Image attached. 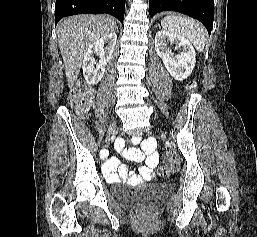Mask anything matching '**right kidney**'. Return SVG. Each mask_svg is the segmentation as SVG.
<instances>
[{"instance_id":"obj_1","label":"right kidney","mask_w":257,"mask_h":237,"mask_svg":"<svg viewBox=\"0 0 257 237\" xmlns=\"http://www.w3.org/2000/svg\"><path fill=\"white\" fill-rule=\"evenodd\" d=\"M116 41V33L111 32L96 40L87 49L83 59L82 69L84 78L88 84L95 85L102 79L105 66L112 57ZM104 45H106V47H104ZM94 55H99L100 57L98 64L95 62Z\"/></svg>"}]
</instances>
